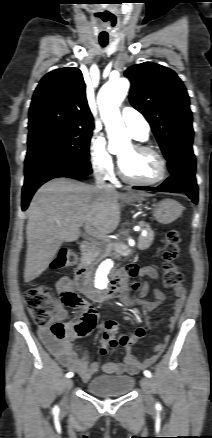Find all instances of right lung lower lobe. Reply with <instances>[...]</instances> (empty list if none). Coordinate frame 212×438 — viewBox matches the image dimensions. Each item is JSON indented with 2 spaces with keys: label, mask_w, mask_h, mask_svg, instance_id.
Segmentation results:
<instances>
[{
  "label": "right lung lower lobe",
  "mask_w": 212,
  "mask_h": 438,
  "mask_svg": "<svg viewBox=\"0 0 212 438\" xmlns=\"http://www.w3.org/2000/svg\"><path fill=\"white\" fill-rule=\"evenodd\" d=\"M91 173L89 161L43 157L26 158L22 210L27 209L35 191L50 179L57 177L77 178Z\"/></svg>",
  "instance_id": "98d812e1"
}]
</instances>
